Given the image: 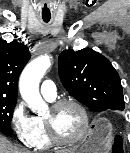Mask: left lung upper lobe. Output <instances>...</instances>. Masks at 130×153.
<instances>
[{
    "instance_id": "1",
    "label": "left lung upper lobe",
    "mask_w": 130,
    "mask_h": 153,
    "mask_svg": "<svg viewBox=\"0 0 130 153\" xmlns=\"http://www.w3.org/2000/svg\"><path fill=\"white\" fill-rule=\"evenodd\" d=\"M58 60L60 80L79 102L95 112L124 109L120 77L103 55L90 48L68 49Z\"/></svg>"
}]
</instances>
